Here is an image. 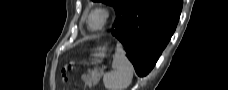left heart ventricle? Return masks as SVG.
I'll return each mask as SVG.
<instances>
[{"label": "left heart ventricle", "mask_w": 228, "mask_h": 90, "mask_svg": "<svg viewBox=\"0 0 228 90\" xmlns=\"http://www.w3.org/2000/svg\"><path fill=\"white\" fill-rule=\"evenodd\" d=\"M100 23H101V17L98 14H95L90 20V26L93 28L98 27Z\"/></svg>", "instance_id": "obj_1"}]
</instances>
